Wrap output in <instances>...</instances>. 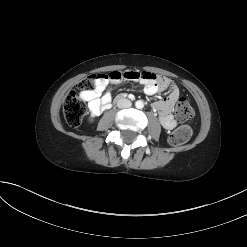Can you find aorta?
I'll return each mask as SVG.
<instances>
[{"label":"aorta","instance_id":"obj_1","mask_svg":"<svg viewBox=\"0 0 247 247\" xmlns=\"http://www.w3.org/2000/svg\"><path fill=\"white\" fill-rule=\"evenodd\" d=\"M136 108L142 109L144 107V102L142 100H138L135 103Z\"/></svg>","mask_w":247,"mask_h":247}]
</instances>
